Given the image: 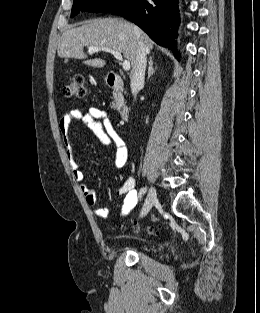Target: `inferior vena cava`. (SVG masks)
Instances as JSON below:
<instances>
[{
  "label": "inferior vena cava",
  "instance_id": "602c4592",
  "mask_svg": "<svg viewBox=\"0 0 260 313\" xmlns=\"http://www.w3.org/2000/svg\"><path fill=\"white\" fill-rule=\"evenodd\" d=\"M139 48L136 55V62L133 74L131 75V92L136 97L140 88L144 86L145 70L147 65V49L144 44L139 41Z\"/></svg>",
  "mask_w": 260,
  "mask_h": 313
}]
</instances>
